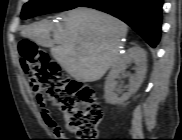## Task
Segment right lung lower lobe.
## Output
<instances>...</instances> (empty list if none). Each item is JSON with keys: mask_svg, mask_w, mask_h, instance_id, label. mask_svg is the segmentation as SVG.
Instances as JSON below:
<instances>
[{"mask_svg": "<svg viewBox=\"0 0 182 140\" xmlns=\"http://www.w3.org/2000/svg\"><path fill=\"white\" fill-rule=\"evenodd\" d=\"M163 0H86L79 7L109 13L131 26L155 48L160 40Z\"/></svg>", "mask_w": 182, "mask_h": 140, "instance_id": "obj_1", "label": "right lung lower lobe"}]
</instances>
